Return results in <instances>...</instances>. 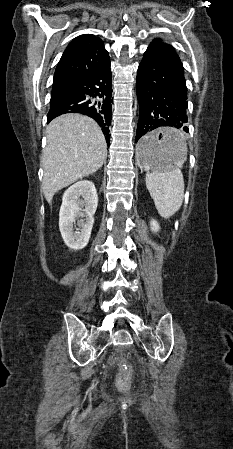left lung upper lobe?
Masks as SVG:
<instances>
[{
	"mask_svg": "<svg viewBox=\"0 0 233 449\" xmlns=\"http://www.w3.org/2000/svg\"><path fill=\"white\" fill-rule=\"evenodd\" d=\"M149 48L159 52L162 56L169 59L170 61L182 66L181 60L177 55L174 47L169 44L163 43L161 39L159 38L154 39L149 45Z\"/></svg>",
	"mask_w": 233,
	"mask_h": 449,
	"instance_id": "obj_1",
	"label": "left lung upper lobe"
}]
</instances>
